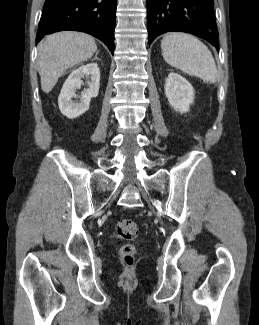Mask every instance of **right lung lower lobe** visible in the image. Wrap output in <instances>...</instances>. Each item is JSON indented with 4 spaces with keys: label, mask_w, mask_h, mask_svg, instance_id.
<instances>
[{
    "label": "right lung lower lobe",
    "mask_w": 259,
    "mask_h": 325,
    "mask_svg": "<svg viewBox=\"0 0 259 325\" xmlns=\"http://www.w3.org/2000/svg\"><path fill=\"white\" fill-rule=\"evenodd\" d=\"M117 0H46L36 43L45 35L63 30L89 33L114 53Z\"/></svg>",
    "instance_id": "right-lung-lower-lobe-1"
}]
</instances>
